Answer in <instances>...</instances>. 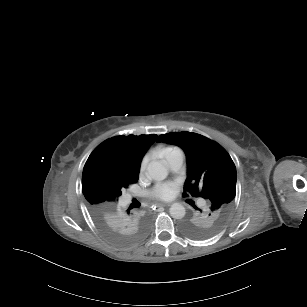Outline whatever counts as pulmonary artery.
<instances>
[{"label":"pulmonary artery","instance_id":"obj_1","mask_svg":"<svg viewBox=\"0 0 307 307\" xmlns=\"http://www.w3.org/2000/svg\"><path fill=\"white\" fill-rule=\"evenodd\" d=\"M161 158L164 160L170 172H179L184 164L186 158L185 150L180 146H168L161 150ZM122 206L127 204V199H122Z\"/></svg>","mask_w":307,"mask_h":307}]
</instances>
